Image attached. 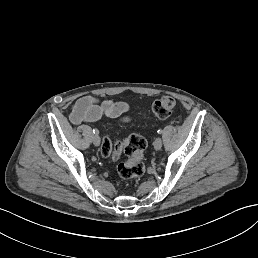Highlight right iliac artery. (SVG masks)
Returning a JSON list of instances; mask_svg holds the SVG:
<instances>
[{"label":"right iliac artery","mask_w":258,"mask_h":258,"mask_svg":"<svg viewBox=\"0 0 258 258\" xmlns=\"http://www.w3.org/2000/svg\"><path fill=\"white\" fill-rule=\"evenodd\" d=\"M93 133L96 134V135L99 134L98 129L94 128V129H93Z\"/></svg>","instance_id":"1"}]
</instances>
